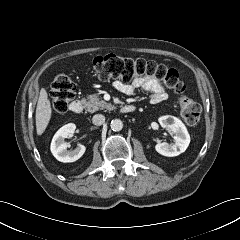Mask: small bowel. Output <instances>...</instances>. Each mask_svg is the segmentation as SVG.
Wrapping results in <instances>:
<instances>
[{
    "instance_id": "1",
    "label": "small bowel",
    "mask_w": 240,
    "mask_h": 240,
    "mask_svg": "<svg viewBox=\"0 0 240 240\" xmlns=\"http://www.w3.org/2000/svg\"><path fill=\"white\" fill-rule=\"evenodd\" d=\"M113 87L125 95H133L138 89L147 92L150 94V102L152 104H159L167 99V93L163 85L155 78H138L131 83L115 81Z\"/></svg>"
}]
</instances>
